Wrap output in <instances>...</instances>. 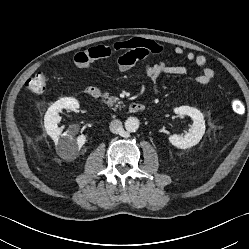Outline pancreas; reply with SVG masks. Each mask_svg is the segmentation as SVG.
<instances>
[{
  "instance_id": "cf45deb5",
  "label": "pancreas",
  "mask_w": 249,
  "mask_h": 249,
  "mask_svg": "<svg viewBox=\"0 0 249 249\" xmlns=\"http://www.w3.org/2000/svg\"><path fill=\"white\" fill-rule=\"evenodd\" d=\"M103 98L107 100L105 102L108 106H113L114 104H116L114 109L120 108L123 104V102L119 101L117 97H110L108 93H104Z\"/></svg>"
}]
</instances>
